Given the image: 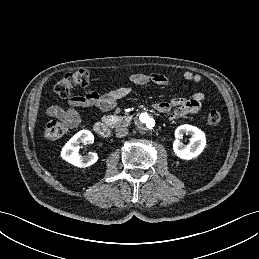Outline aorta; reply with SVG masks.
Returning <instances> with one entry per match:
<instances>
[{
    "mask_svg": "<svg viewBox=\"0 0 259 259\" xmlns=\"http://www.w3.org/2000/svg\"><path fill=\"white\" fill-rule=\"evenodd\" d=\"M137 125L138 127L142 129H150L154 127L155 120L149 113H142L139 118L137 119Z\"/></svg>",
    "mask_w": 259,
    "mask_h": 259,
    "instance_id": "1",
    "label": "aorta"
}]
</instances>
